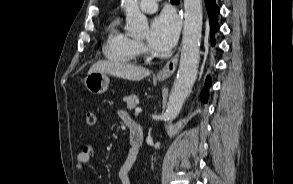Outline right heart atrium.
<instances>
[{
    "mask_svg": "<svg viewBox=\"0 0 293 184\" xmlns=\"http://www.w3.org/2000/svg\"><path fill=\"white\" fill-rule=\"evenodd\" d=\"M136 47L139 53H144L146 50L144 44L140 41H136Z\"/></svg>",
    "mask_w": 293,
    "mask_h": 184,
    "instance_id": "right-heart-atrium-1",
    "label": "right heart atrium"
}]
</instances>
